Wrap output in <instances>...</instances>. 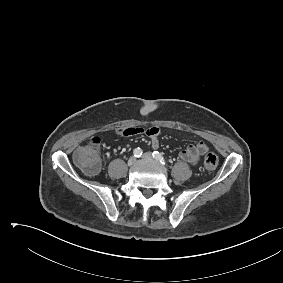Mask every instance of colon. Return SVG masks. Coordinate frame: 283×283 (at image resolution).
Wrapping results in <instances>:
<instances>
[{"label": "colon", "mask_w": 283, "mask_h": 283, "mask_svg": "<svg viewBox=\"0 0 283 283\" xmlns=\"http://www.w3.org/2000/svg\"><path fill=\"white\" fill-rule=\"evenodd\" d=\"M99 145L100 138L93 136L74 154L75 162L88 174H95L99 169ZM218 163L219 159L215 153L209 152L205 155L203 164L206 170H215Z\"/></svg>", "instance_id": "1"}]
</instances>
